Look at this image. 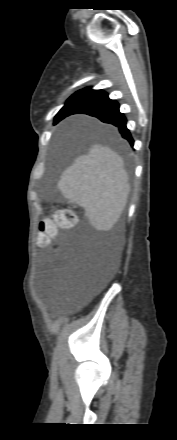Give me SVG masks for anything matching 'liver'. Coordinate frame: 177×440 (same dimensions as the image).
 I'll list each match as a JSON object with an SVG mask.
<instances>
[{
  "mask_svg": "<svg viewBox=\"0 0 177 440\" xmlns=\"http://www.w3.org/2000/svg\"><path fill=\"white\" fill-rule=\"evenodd\" d=\"M57 187L70 203L84 209L97 230L103 231L118 222L130 192L122 157L97 143L63 171Z\"/></svg>",
  "mask_w": 177,
  "mask_h": 440,
  "instance_id": "obj_1",
  "label": "liver"
}]
</instances>
